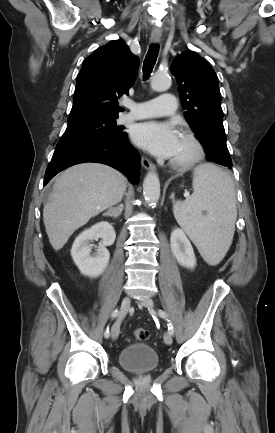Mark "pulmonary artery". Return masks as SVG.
<instances>
[{
	"label": "pulmonary artery",
	"instance_id": "e3ab8cb5",
	"mask_svg": "<svg viewBox=\"0 0 275 433\" xmlns=\"http://www.w3.org/2000/svg\"><path fill=\"white\" fill-rule=\"evenodd\" d=\"M124 105L129 112L122 116L123 121L172 115L177 109V101L170 93H163L157 98L142 103L126 101Z\"/></svg>",
	"mask_w": 275,
	"mask_h": 433
}]
</instances>
